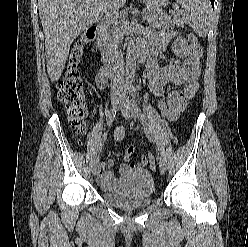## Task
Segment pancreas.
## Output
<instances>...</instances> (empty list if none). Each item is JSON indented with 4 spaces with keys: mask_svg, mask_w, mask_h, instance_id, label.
<instances>
[{
    "mask_svg": "<svg viewBox=\"0 0 248 247\" xmlns=\"http://www.w3.org/2000/svg\"><path fill=\"white\" fill-rule=\"evenodd\" d=\"M145 18L147 19V23L150 26L161 29H168L173 26V24H177L178 26L183 27V22L177 17L170 18L163 11H153L148 10L145 14ZM124 34V23H121L117 28L110 30L107 37V49L108 51H112L114 49V45L117 43V39L122 37Z\"/></svg>",
    "mask_w": 248,
    "mask_h": 247,
    "instance_id": "cf45deb5",
    "label": "pancreas"
}]
</instances>
